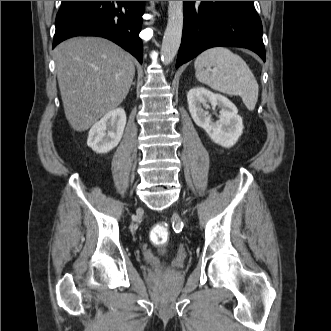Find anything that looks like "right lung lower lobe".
Here are the masks:
<instances>
[{
    "mask_svg": "<svg viewBox=\"0 0 331 331\" xmlns=\"http://www.w3.org/2000/svg\"><path fill=\"white\" fill-rule=\"evenodd\" d=\"M144 1H62L56 17L53 48L74 36L107 38L142 63L139 38Z\"/></svg>",
    "mask_w": 331,
    "mask_h": 331,
    "instance_id": "obj_1",
    "label": "right lung lower lobe"
}]
</instances>
